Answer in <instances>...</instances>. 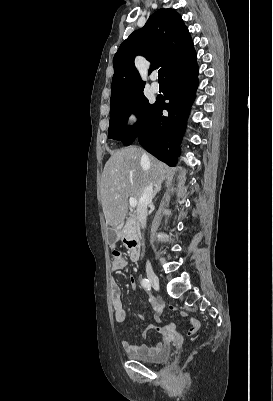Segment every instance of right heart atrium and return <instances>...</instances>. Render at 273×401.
<instances>
[{
  "label": "right heart atrium",
  "mask_w": 273,
  "mask_h": 401,
  "mask_svg": "<svg viewBox=\"0 0 273 401\" xmlns=\"http://www.w3.org/2000/svg\"><path fill=\"white\" fill-rule=\"evenodd\" d=\"M128 120L130 122L136 123L138 121V113L136 110H131L128 114Z\"/></svg>",
  "instance_id": "d8ad5b80"
}]
</instances>
